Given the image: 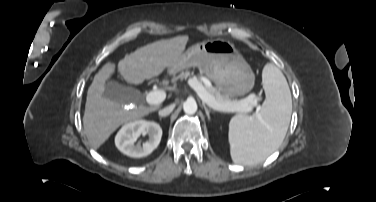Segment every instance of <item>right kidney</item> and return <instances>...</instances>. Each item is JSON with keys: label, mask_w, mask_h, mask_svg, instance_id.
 <instances>
[{"label": "right kidney", "mask_w": 376, "mask_h": 202, "mask_svg": "<svg viewBox=\"0 0 376 202\" xmlns=\"http://www.w3.org/2000/svg\"><path fill=\"white\" fill-rule=\"evenodd\" d=\"M140 135H147L148 140L141 146L135 145ZM162 129L156 122L136 120L125 124L115 137L116 147L127 156L140 158L152 153L160 143Z\"/></svg>", "instance_id": "ca27d5eb"}]
</instances>
